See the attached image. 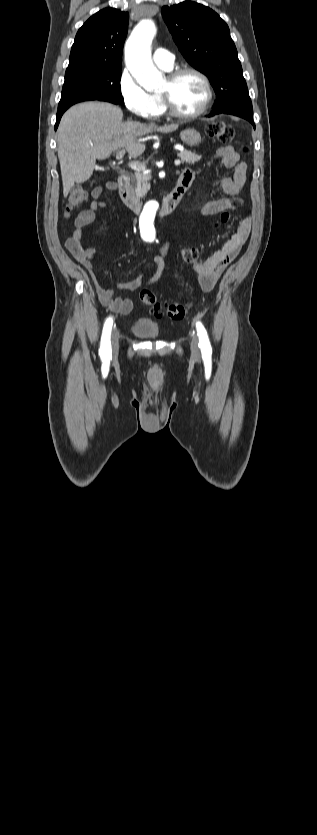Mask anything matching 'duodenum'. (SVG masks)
<instances>
[{"label":"duodenum","mask_w":317,"mask_h":835,"mask_svg":"<svg viewBox=\"0 0 317 835\" xmlns=\"http://www.w3.org/2000/svg\"><path fill=\"white\" fill-rule=\"evenodd\" d=\"M114 186L118 188L120 197L123 203L132 211L139 212L142 208L143 202L136 197L129 190V178L125 174H121ZM189 185L183 180H179L175 188L163 199L161 202L160 213L163 215L174 212L181 202L184 194L188 190Z\"/></svg>","instance_id":"duodenum-1"}]
</instances>
